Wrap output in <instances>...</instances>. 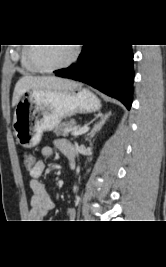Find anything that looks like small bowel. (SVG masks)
Instances as JSON below:
<instances>
[{
	"instance_id": "obj_1",
	"label": "small bowel",
	"mask_w": 166,
	"mask_h": 267,
	"mask_svg": "<svg viewBox=\"0 0 166 267\" xmlns=\"http://www.w3.org/2000/svg\"><path fill=\"white\" fill-rule=\"evenodd\" d=\"M53 146L57 148L72 163L75 157L74 145L66 139H57ZM53 154L52 146H45L41 149L43 157H50ZM45 163L41 160L35 162L34 166L29 170L30 182L29 186L33 192L30 201L29 217L34 221H40L47 216L54 208L55 203L49 196L45 185L41 181V177L45 171ZM75 218L74 209H68L64 222H72Z\"/></svg>"
}]
</instances>
